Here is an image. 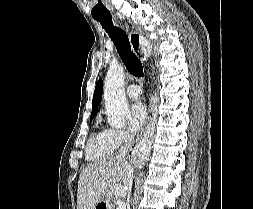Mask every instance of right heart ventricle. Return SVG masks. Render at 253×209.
<instances>
[{"label":"right heart ventricle","mask_w":253,"mask_h":209,"mask_svg":"<svg viewBox=\"0 0 253 209\" xmlns=\"http://www.w3.org/2000/svg\"><path fill=\"white\" fill-rule=\"evenodd\" d=\"M113 150L106 138V131L100 130L93 132L89 137L86 155L89 160H99L108 157Z\"/></svg>","instance_id":"right-heart-ventricle-1"}]
</instances>
